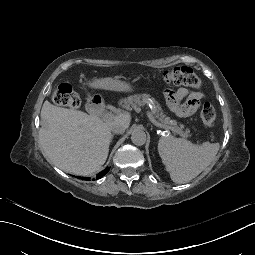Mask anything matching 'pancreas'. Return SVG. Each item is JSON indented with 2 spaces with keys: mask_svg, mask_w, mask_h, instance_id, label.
<instances>
[{
  "mask_svg": "<svg viewBox=\"0 0 255 255\" xmlns=\"http://www.w3.org/2000/svg\"><path fill=\"white\" fill-rule=\"evenodd\" d=\"M149 99V96L146 94H135L129 96L127 99L124 100L123 108L130 109L131 107L134 108L136 111L140 110L141 106ZM153 116L162 124L166 123L164 121V114L160 112V108H155L152 111Z\"/></svg>",
  "mask_w": 255,
  "mask_h": 255,
  "instance_id": "pancreas-1",
  "label": "pancreas"
}]
</instances>
